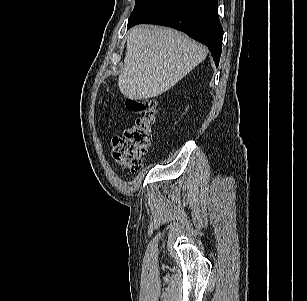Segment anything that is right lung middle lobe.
<instances>
[{
  "label": "right lung middle lobe",
  "instance_id": "dd1d6c3e",
  "mask_svg": "<svg viewBox=\"0 0 307 301\" xmlns=\"http://www.w3.org/2000/svg\"><path fill=\"white\" fill-rule=\"evenodd\" d=\"M165 1L166 0H136V4L129 17L128 24L133 23Z\"/></svg>",
  "mask_w": 307,
  "mask_h": 301
}]
</instances>
